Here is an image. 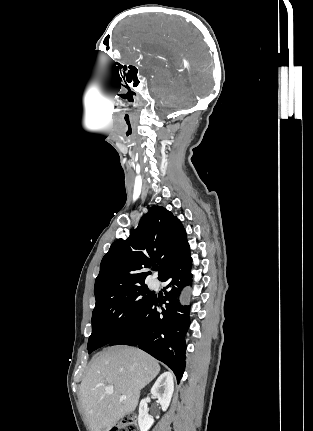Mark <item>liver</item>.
<instances>
[{
	"label": "liver",
	"instance_id": "obj_1",
	"mask_svg": "<svg viewBox=\"0 0 313 431\" xmlns=\"http://www.w3.org/2000/svg\"><path fill=\"white\" fill-rule=\"evenodd\" d=\"M159 372L158 361L137 348L119 345L98 353L80 384L81 401L91 431H109L133 412L141 389ZM105 387H112L113 394L106 393Z\"/></svg>",
	"mask_w": 313,
	"mask_h": 431
}]
</instances>
